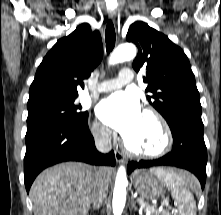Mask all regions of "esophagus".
<instances>
[{"instance_id": "obj_1", "label": "esophagus", "mask_w": 221, "mask_h": 215, "mask_svg": "<svg viewBox=\"0 0 221 215\" xmlns=\"http://www.w3.org/2000/svg\"><path fill=\"white\" fill-rule=\"evenodd\" d=\"M109 16L113 21H115L116 14L114 11H110ZM114 154H115L116 161L118 163H126L127 162L126 155L122 151L115 149Z\"/></svg>"}]
</instances>
